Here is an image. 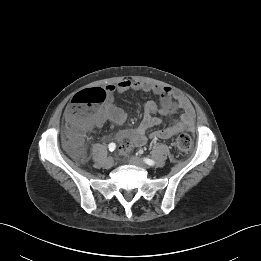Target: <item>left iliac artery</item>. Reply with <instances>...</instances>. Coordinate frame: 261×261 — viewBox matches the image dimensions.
I'll use <instances>...</instances> for the list:
<instances>
[{
	"label": "left iliac artery",
	"instance_id": "left-iliac-artery-1",
	"mask_svg": "<svg viewBox=\"0 0 261 261\" xmlns=\"http://www.w3.org/2000/svg\"><path fill=\"white\" fill-rule=\"evenodd\" d=\"M143 160H144V162H145L146 164H148L149 166H154V164H155V162H154L152 159L144 158Z\"/></svg>",
	"mask_w": 261,
	"mask_h": 261
}]
</instances>
